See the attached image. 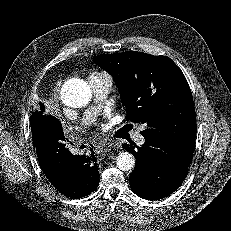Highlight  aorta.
Returning <instances> with one entry per match:
<instances>
[{"instance_id":"aorta-1","label":"aorta","mask_w":231,"mask_h":231,"mask_svg":"<svg viewBox=\"0 0 231 231\" xmlns=\"http://www.w3.org/2000/svg\"><path fill=\"white\" fill-rule=\"evenodd\" d=\"M92 91L88 83L82 79L67 80L61 88L62 102L69 107L79 108L89 103ZM117 167L122 171H130L135 166L134 156L128 152L120 153L116 158Z\"/></svg>"}]
</instances>
